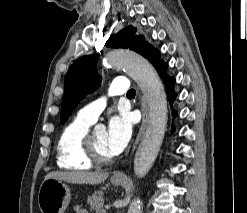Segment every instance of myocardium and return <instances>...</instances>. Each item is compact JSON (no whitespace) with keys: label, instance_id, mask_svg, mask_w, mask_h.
<instances>
[{"label":"myocardium","instance_id":"myocardium-1","mask_svg":"<svg viewBox=\"0 0 247 213\" xmlns=\"http://www.w3.org/2000/svg\"><path fill=\"white\" fill-rule=\"evenodd\" d=\"M82 153L84 158L94 165H108L114 161V157L103 158L96 151L93 132L88 131L82 140Z\"/></svg>","mask_w":247,"mask_h":213}]
</instances>
